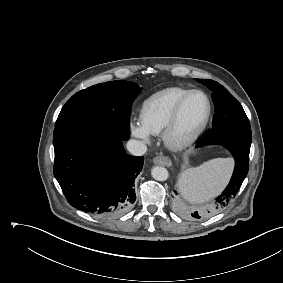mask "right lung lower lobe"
Here are the masks:
<instances>
[{
  "mask_svg": "<svg viewBox=\"0 0 283 283\" xmlns=\"http://www.w3.org/2000/svg\"><path fill=\"white\" fill-rule=\"evenodd\" d=\"M122 142L107 132H89L55 148L54 176L74 208L110 217L135 202L134 179L144 158L128 155Z\"/></svg>",
  "mask_w": 283,
  "mask_h": 283,
  "instance_id": "1",
  "label": "right lung lower lobe"
}]
</instances>
